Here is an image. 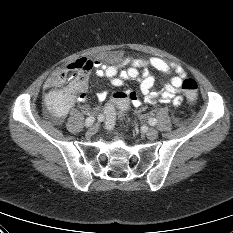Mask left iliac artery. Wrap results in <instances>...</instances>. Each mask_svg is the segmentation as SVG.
<instances>
[{
  "label": "left iliac artery",
  "instance_id": "44dca946",
  "mask_svg": "<svg viewBox=\"0 0 233 233\" xmlns=\"http://www.w3.org/2000/svg\"><path fill=\"white\" fill-rule=\"evenodd\" d=\"M156 123H157V120H156L155 118H150V119H149V124H150L151 126L156 125Z\"/></svg>",
  "mask_w": 233,
  "mask_h": 233
}]
</instances>
